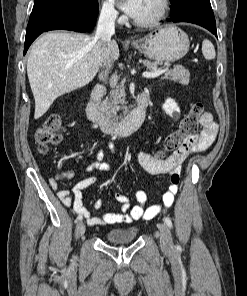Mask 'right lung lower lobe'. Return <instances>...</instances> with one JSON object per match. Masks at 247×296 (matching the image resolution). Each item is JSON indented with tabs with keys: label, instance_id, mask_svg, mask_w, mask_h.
I'll return each mask as SVG.
<instances>
[{
	"label": "right lung lower lobe",
	"instance_id": "obj_1",
	"mask_svg": "<svg viewBox=\"0 0 247 296\" xmlns=\"http://www.w3.org/2000/svg\"><path fill=\"white\" fill-rule=\"evenodd\" d=\"M97 15L98 9L81 10L72 0H61L33 10L27 26L24 54L31 43L43 32L56 29L91 31Z\"/></svg>",
	"mask_w": 247,
	"mask_h": 296
}]
</instances>
